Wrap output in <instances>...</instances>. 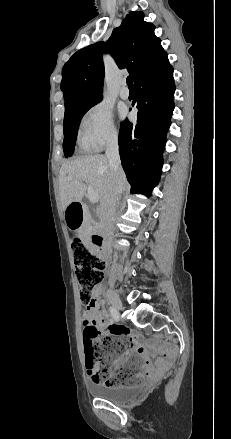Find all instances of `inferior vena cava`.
Instances as JSON below:
<instances>
[{
    "mask_svg": "<svg viewBox=\"0 0 231 439\" xmlns=\"http://www.w3.org/2000/svg\"><path fill=\"white\" fill-rule=\"evenodd\" d=\"M106 157L109 162V168L112 173L111 186L101 201L100 212L101 222L106 230L107 239L110 241L114 231V216L116 212V203L118 200L117 181L121 172V161L119 156V147L117 139L109 141L106 148Z\"/></svg>",
    "mask_w": 231,
    "mask_h": 439,
    "instance_id": "inferior-vena-cava-1",
    "label": "inferior vena cava"
}]
</instances>
